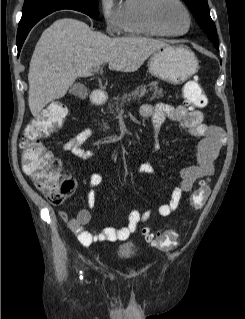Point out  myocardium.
Returning <instances> with one entry per match:
<instances>
[{
  "label": "myocardium",
  "instance_id": "1",
  "mask_svg": "<svg viewBox=\"0 0 245 319\" xmlns=\"http://www.w3.org/2000/svg\"><path fill=\"white\" fill-rule=\"evenodd\" d=\"M175 3L178 5L183 12L186 15L187 18V26L183 31H172L171 29L168 28V26L163 22L160 16V9L165 3ZM147 15L150 23L160 30L163 34L168 35V36H181L186 34L192 24V18L189 9L186 7V5L181 1V0H150V3L147 7Z\"/></svg>",
  "mask_w": 245,
  "mask_h": 319
}]
</instances>
